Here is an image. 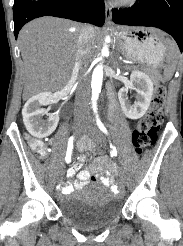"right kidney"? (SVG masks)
<instances>
[{
    "label": "right kidney",
    "instance_id": "right-kidney-1",
    "mask_svg": "<svg viewBox=\"0 0 183 246\" xmlns=\"http://www.w3.org/2000/svg\"><path fill=\"white\" fill-rule=\"evenodd\" d=\"M55 95L51 92L39 93L31 97L22 109L23 122L28 132L36 138H45L52 134L56 129L59 116L49 114L48 119L44 120L46 114L42 106H47L53 102Z\"/></svg>",
    "mask_w": 183,
    "mask_h": 246
}]
</instances>
